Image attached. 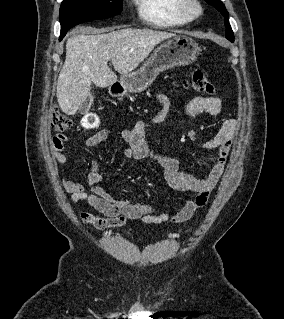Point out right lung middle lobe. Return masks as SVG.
Here are the masks:
<instances>
[{"label":"right lung middle lobe","instance_id":"dd1d6c3e","mask_svg":"<svg viewBox=\"0 0 284 319\" xmlns=\"http://www.w3.org/2000/svg\"><path fill=\"white\" fill-rule=\"evenodd\" d=\"M121 11V0H63L59 15L61 38L75 25L109 18Z\"/></svg>","mask_w":284,"mask_h":319}]
</instances>
